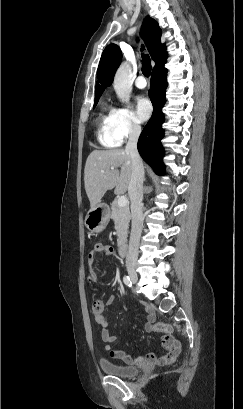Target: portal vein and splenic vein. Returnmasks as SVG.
Here are the masks:
<instances>
[{
	"label": "portal vein and splenic vein",
	"instance_id": "obj_1",
	"mask_svg": "<svg viewBox=\"0 0 243 409\" xmlns=\"http://www.w3.org/2000/svg\"><path fill=\"white\" fill-rule=\"evenodd\" d=\"M117 203H118V206L124 207L128 204V200L126 196L122 195L118 198Z\"/></svg>",
	"mask_w": 243,
	"mask_h": 409
}]
</instances>
